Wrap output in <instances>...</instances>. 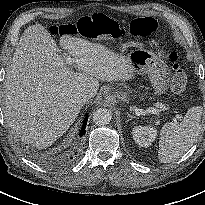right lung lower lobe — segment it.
I'll return each instance as SVG.
<instances>
[{"instance_id": "1", "label": "right lung lower lobe", "mask_w": 205, "mask_h": 205, "mask_svg": "<svg viewBox=\"0 0 205 205\" xmlns=\"http://www.w3.org/2000/svg\"><path fill=\"white\" fill-rule=\"evenodd\" d=\"M87 120H88V119H87V117H86V118L84 119L82 129H81V131H80V136H82V135L85 133V128H86ZM72 159H73L72 157L66 158L65 161H63V163L68 164V163L71 162Z\"/></svg>"}]
</instances>
